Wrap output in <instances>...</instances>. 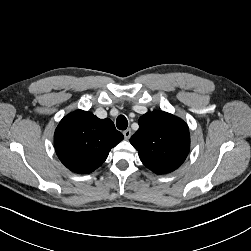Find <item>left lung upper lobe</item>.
<instances>
[{"label": "left lung upper lobe", "mask_w": 251, "mask_h": 251, "mask_svg": "<svg viewBox=\"0 0 251 251\" xmlns=\"http://www.w3.org/2000/svg\"><path fill=\"white\" fill-rule=\"evenodd\" d=\"M139 129L130 138L140 160L156 174L176 170L190 149L187 124L167 112H147L139 120Z\"/></svg>", "instance_id": "left-lung-upper-lobe-1"}]
</instances>
